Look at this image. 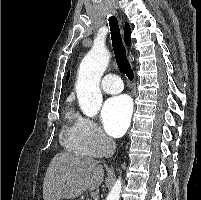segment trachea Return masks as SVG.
Instances as JSON below:
<instances>
[{"label": "trachea", "instance_id": "obj_1", "mask_svg": "<svg viewBox=\"0 0 201 200\" xmlns=\"http://www.w3.org/2000/svg\"><path fill=\"white\" fill-rule=\"evenodd\" d=\"M109 26L111 31L112 47L115 59L120 70L126 74L129 80H133L134 73L129 65L126 49L123 45L120 28L117 19L114 16L109 17Z\"/></svg>", "mask_w": 201, "mask_h": 200}]
</instances>
